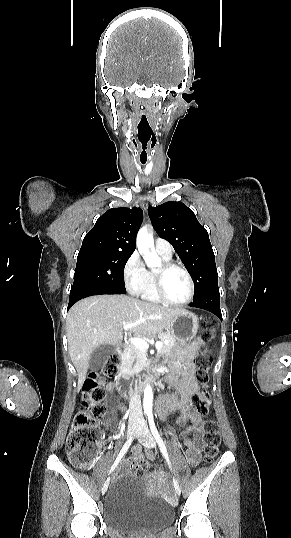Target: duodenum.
<instances>
[{
    "mask_svg": "<svg viewBox=\"0 0 291 538\" xmlns=\"http://www.w3.org/2000/svg\"><path fill=\"white\" fill-rule=\"evenodd\" d=\"M129 353L128 347H120L118 349V354L122 357H126ZM117 377L119 378L118 386L119 391L118 394L120 396H123L125 398H132L134 396H137L139 394V390L143 389L144 387H150V382L153 381L156 378V373H150L146 372L143 374V377H145V380H139V378L131 377V374H126L124 372H119L117 374ZM137 381V382H135Z\"/></svg>",
    "mask_w": 291,
    "mask_h": 538,
    "instance_id": "duodenum-1",
    "label": "duodenum"
}]
</instances>
